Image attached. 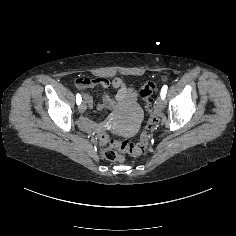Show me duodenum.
I'll return each mask as SVG.
<instances>
[{
	"label": "duodenum",
	"instance_id": "obj_1",
	"mask_svg": "<svg viewBox=\"0 0 236 236\" xmlns=\"http://www.w3.org/2000/svg\"><path fill=\"white\" fill-rule=\"evenodd\" d=\"M130 97H131V94L125 88H122L116 96L117 101L114 102L109 97H106L104 99V106L109 109H117V108L125 106L127 103H129L131 100ZM88 104H90L89 100H88ZM81 124L86 130H94L99 127L98 124H96L86 118H83L81 120Z\"/></svg>",
	"mask_w": 236,
	"mask_h": 236
}]
</instances>
